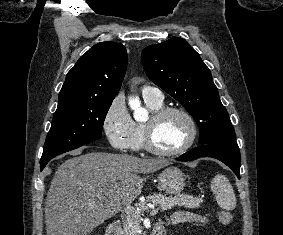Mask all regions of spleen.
I'll return each instance as SVG.
<instances>
[{
	"mask_svg": "<svg viewBox=\"0 0 283 235\" xmlns=\"http://www.w3.org/2000/svg\"><path fill=\"white\" fill-rule=\"evenodd\" d=\"M211 190L217 204L224 210L231 211L236 207V196L229 180L222 174H217L211 182Z\"/></svg>",
	"mask_w": 283,
	"mask_h": 235,
	"instance_id": "spleen-1",
	"label": "spleen"
}]
</instances>
